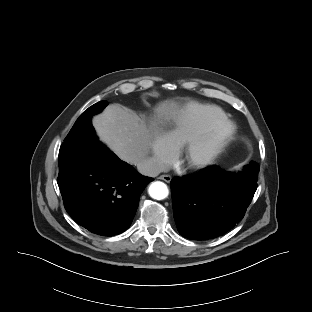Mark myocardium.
<instances>
[{
  "instance_id": "f54148a6",
  "label": "myocardium",
  "mask_w": 312,
  "mask_h": 312,
  "mask_svg": "<svg viewBox=\"0 0 312 312\" xmlns=\"http://www.w3.org/2000/svg\"><path fill=\"white\" fill-rule=\"evenodd\" d=\"M236 134L235 124L224 119L214 123L181 145L179 159L190 170L209 166L228 146Z\"/></svg>"
}]
</instances>
